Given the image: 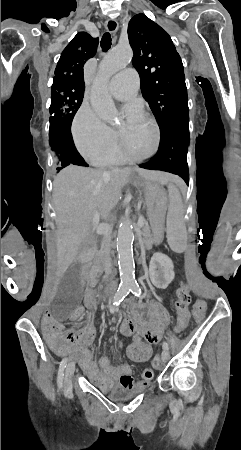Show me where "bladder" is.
I'll return each mask as SVG.
<instances>
[{"label": "bladder", "mask_w": 241, "mask_h": 450, "mask_svg": "<svg viewBox=\"0 0 241 450\" xmlns=\"http://www.w3.org/2000/svg\"><path fill=\"white\" fill-rule=\"evenodd\" d=\"M134 395H135V392H133L130 389L125 388L122 385H117L115 388H113L109 392L110 398L115 401L128 400V399L132 398Z\"/></svg>", "instance_id": "bladder-1"}]
</instances>
